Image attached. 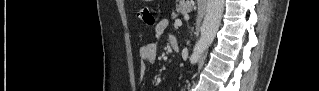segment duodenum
I'll use <instances>...</instances> for the list:
<instances>
[{
	"label": "duodenum",
	"instance_id": "duodenum-1",
	"mask_svg": "<svg viewBox=\"0 0 319 91\" xmlns=\"http://www.w3.org/2000/svg\"><path fill=\"white\" fill-rule=\"evenodd\" d=\"M170 46H171V49L174 50V51H179V42L177 40V38H175L174 36H172L170 38Z\"/></svg>",
	"mask_w": 319,
	"mask_h": 91
}]
</instances>
